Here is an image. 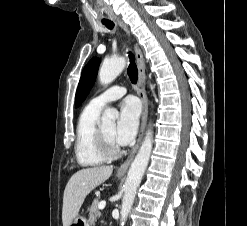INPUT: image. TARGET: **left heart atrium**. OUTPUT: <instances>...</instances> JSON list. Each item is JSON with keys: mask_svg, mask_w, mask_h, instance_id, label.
<instances>
[{"mask_svg": "<svg viewBox=\"0 0 247 226\" xmlns=\"http://www.w3.org/2000/svg\"><path fill=\"white\" fill-rule=\"evenodd\" d=\"M140 104L133 98H126L120 105L119 117L113 138L117 145L129 144L135 137L139 125Z\"/></svg>", "mask_w": 247, "mask_h": 226, "instance_id": "left-heart-atrium-1", "label": "left heart atrium"}]
</instances>
